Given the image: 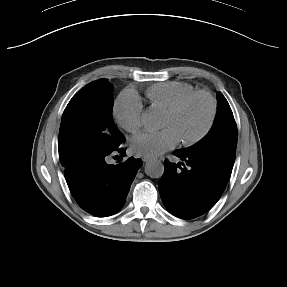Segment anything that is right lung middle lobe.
Returning <instances> with one entry per match:
<instances>
[{"label":"right lung middle lobe","mask_w":287,"mask_h":287,"mask_svg":"<svg viewBox=\"0 0 287 287\" xmlns=\"http://www.w3.org/2000/svg\"><path fill=\"white\" fill-rule=\"evenodd\" d=\"M113 86L99 79L84 86L64 110L58 149L66 169L82 159L118 147L123 134L112 119Z\"/></svg>","instance_id":"obj_1"}]
</instances>
